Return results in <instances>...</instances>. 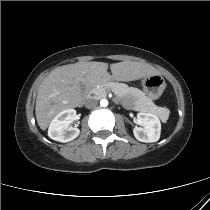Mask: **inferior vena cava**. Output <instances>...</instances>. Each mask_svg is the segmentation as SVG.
<instances>
[{"instance_id": "obj_1", "label": "inferior vena cava", "mask_w": 210, "mask_h": 210, "mask_svg": "<svg viewBox=\"0 0 210 210\" xmlns=\"http://www.w3.org/2000/svg\"><path fill=\"white\" fill-rule=\"evenodd\" d=\"M97 105V100L96 99H88L86 102H85V107L88 108V109H91L93 107H95Z\"/></svg>"}]
</instances>
